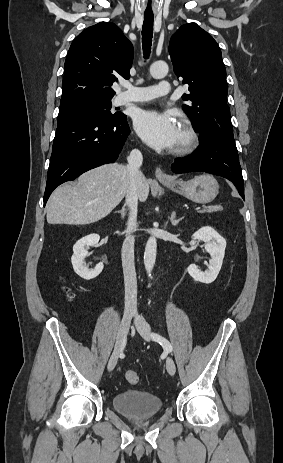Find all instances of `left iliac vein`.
<instances>
[{"mask_svg": "<svg viewBox=\"0 0 283 463\" xmlns=\"http://www.w3.org/2000/svg\"><path fill=\"white\" fill-rule=\"evenodd\" d=\"M135 326L140 335L147 341L150 340V325L139 315H136ZM166 368L170 375H174L176 372L175 362L171 357L166 359Z\"/></svg>", "mask_w": 283, "mask_h": 463, "instance_id": "obj_1", "label": "left iliac vein"}]
</instances>
